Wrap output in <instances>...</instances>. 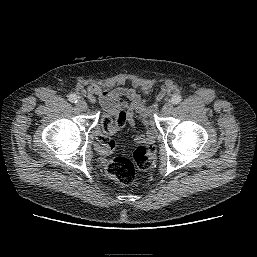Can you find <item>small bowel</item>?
I'll use <instances>...</instances> for the list:
<instances>
[{"label": "small bowel", "mask_w": 257, "mask_h": 257, "mask_svg": "<svg viewBox=\"0 0 257 257\" xmlns=\"http://www.w3.org/2000/svg\"><path fill=\"white\" fill-rule=\"evenodd\" d=\"M171 89V83H166L163 87L164 92H169ZM86 96L91 103H99L110 116L124 114L131 129L135 128L137 120L141 121L145 131L135 136L138 143L150 144L154 141L157 128L152 110L147 107L145 99L134 88L119 87L105 90L91 84L86 89ZM122 98L127 100L122 101Z\"/></svg>", "instance_id": "c3829d8e"}]
</instances>
